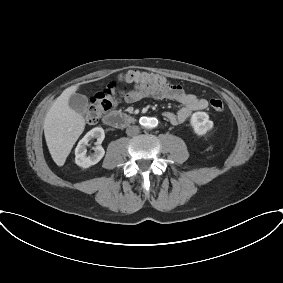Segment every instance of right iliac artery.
Returning a JSON list of instances; mask_svg holds the SVG:
<instances>
[{
  "mask_svg": "<svg viewBox=\"0 0 283 283\" xmlns=\"http://www.w3.org/2000/svg\"><path fill=\"white\" fill-rule=\"evenodd\" d=\"M144 121L146 122V121H147V119L145 118V119H144Z\"/></svg>",
  "mask_w": 283,
  "mask_h": 283,
  "instance_id": "82829eb1",
  "label": "right iliac artery"
}]
</instances>
